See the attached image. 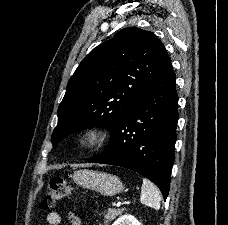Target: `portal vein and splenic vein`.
Listing matches in <instances>:
<instances>
[{
  "label": "portal vein and splenic vein",
  "instance_id": "18ae733b",
  "mask_svg": "<svg viewBox=\"0 0 228 225\" xmlns=\"http://www.w3.org/2000/svg\"><path fill=\"white\" fill-rule=\"evenodd\" d=\"M133 199H134V196L130 195L129 199H125V201L119 200V202H117V200H112V205H114V207H132L133 203L137 202V201H134Z\"/></svg>",
  "mask_w": 228,
  "mask_h": 225
}]
</instances>
